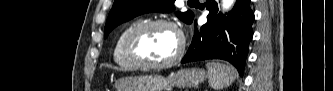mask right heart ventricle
Instances as JSON below:
<instances>
[{"label":"right heart ventricle","instance_id":"1","mask_svg":"<svg viewBox=\"0 0 333 91\" xmlns=\"http://www.w3.org/2000/svg\"><path fill=\"white\" fill-rule=\"evenodd\" d=\"M138 24V22H133L126 26L117 36L114 48H113V60L114 62L123 69L136 70L139 67L133 64L127 57L125 53V41L129 32Z\"/></svg>","mask_w":333,"mask_h":91}]
</instances>
